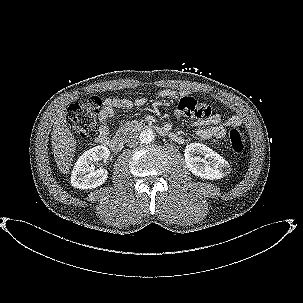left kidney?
Instances as JSON below:
<instances>
[{
	"instance_id": "left-kidney-1",
	"label": "left kidney",
	"mask_w": 303,
	"mask_h": 303,
	"mask_svg": "<svg viewBox=\"0 0 303 303\" xmlns=\"http://www.w3.org/2000/svg\"><path fill=\"white\" fill-rule=\"evenodd\" d=\"M200 156H195V154ZM185 163L188 170L204 179H220L228 171L229 163L208 146L201 143H191L185 148Z\"/></svg>"
}]
</instances>
